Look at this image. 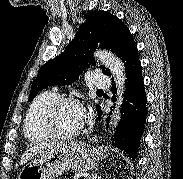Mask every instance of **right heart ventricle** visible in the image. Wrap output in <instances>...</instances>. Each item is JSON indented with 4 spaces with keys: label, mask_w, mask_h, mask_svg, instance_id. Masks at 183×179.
<instances>
[{
    "label": "right heart ventricle",
    "mask_w": 183,
    "mask_h": 179,
    "mask_svg": "<svg viewBox=\"0 0 183 179\" xmlns=\"http://www.w3.org/2000/svg\"><path fill=\"white\" fill-rule=\"evenodd\" d=\"M57 97L53 90L44 91L31 103L24 122V133L29 140L41 142L51 137L42 126V116L47 106Z\"/></svg>",
    "instance_id": "1"
}]
</instances>
